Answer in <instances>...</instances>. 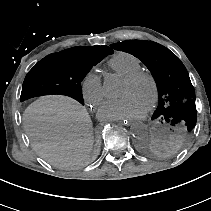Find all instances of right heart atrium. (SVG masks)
<instances>
[{"mask_svg":"<svg viewBox=\"0 0 211 211\" xmlns=\"http://www.w3.org/2000/svg\"><path fill=\"white\" fill-rule=\"evenodd\" d=\"M80 88L83 99L90 107L98 106L105 96L102 79L93 71L84 76Z\"/></svg>","mask_w":211,"mask_h":211,"instance_id":"obj_1","label":"right heart atrium"}]
</instances>
